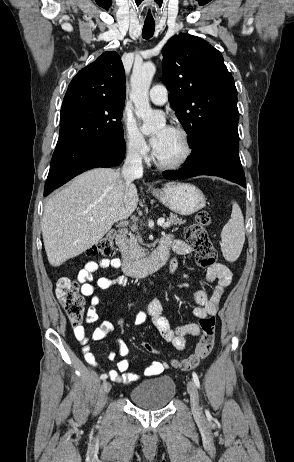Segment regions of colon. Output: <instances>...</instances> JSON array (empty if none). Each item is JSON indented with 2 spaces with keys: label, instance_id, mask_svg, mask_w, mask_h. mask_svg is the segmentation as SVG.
Segmentation results:
<instances>
[{
  "label": "colon",
  "instance_id": "colon-1",
  "mask_svg": "<svg viewBox=\"0 0 294 462\" xmlns=\"http://www.w3.org/2000/svg\"><path fill=\"white\" fill-rule=\"evenodd\" d=\"M210 223V216L206 211L197 214L195 222L186 230V240L195 253L196 262L199 266L207 268L215 264L217 252L209 239L207 226ZM115 232H108L101 240L87 250V255L92 257H110L115 253L114 246ZM56 296L61 302L71 324L79 326L84 316V299L80 293V282L71 277H61L56 284ZM215 317L206 316L199 321L201 335L195 347L194 353L187 359L176 362L175 366L182 370H189L197 367L206 359L215 343ZM144 349L156 354V348L146 342Z\"/></svg>",
  "mask_w": 294,
  "mask_h": 462
}]
</instances>
